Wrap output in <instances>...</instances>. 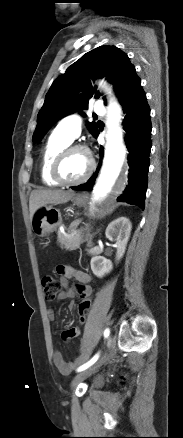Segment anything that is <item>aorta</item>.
I'll use <instances>...</instances> for the list:
<instances>
[{"instance_id":"aorta-1","label":"aorta","mask_w":183,"mask_h":438,"mask_svg":"<svg viewBox=\"0 0 183 438\" xmlns=\"http://www.w3.org/2000/svg\"><path fill=\"white\" fill-rule=\"evenodd\" d=\"M108 93L111 92L106 87ZM121 118V109L114 98H110L108 113V133L106 135L107 143L103 167L97 183L93 188L94 199L105 197L111 190L117 180L126 155V148L123 144L122 131L119 128Z\"/></svg>"}]
</instances>
